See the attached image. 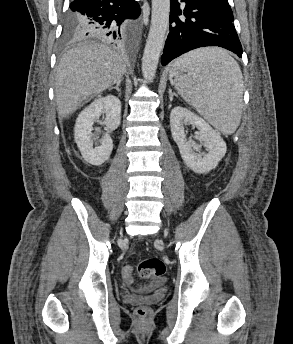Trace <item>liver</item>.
Returning a JSON list of instances; mask_svg holds the SVG:
<instances>
[{
    "label": "liver",
    "instance_id": "obj_1",
    "mask_svg": "<svg viewBox=\"0 0 293 344\" xmlns=\"http://www.w3.org/2000/svg\"><path fill=\"white\" fill-rule=\"evenodd\" d=\"M125 71L124 57L106 45L87 42L68 50L55 78L59 118L69 117L89 96L121 81Z\"/></svg>",
    "mask_w": 293,
    "mask_h": 344
}]
</instances>
